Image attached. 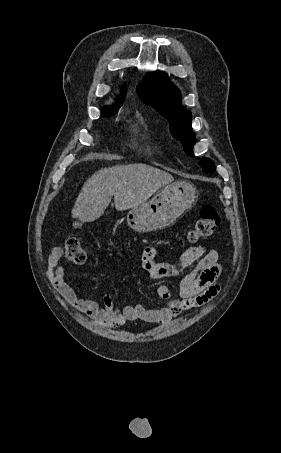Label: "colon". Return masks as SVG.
<instances>
[{
    "label": "colon",
    "mask_w": 281,
    "mask_h": 453,
    "mask_svg": "<svg viewBox=\"0 0 281 453\" xmlns=\"http://www.w3.org/2000/svg\"><path fill=\"white\" fill-rule=\"evenodd\" d=\"M218 223L219 219L214 205L203 203L200 209V216L197 218L194 227L190 230L192 244H197L208 238ZM64 252L67 259L71 262H84L88 255L82 240L78 237H68L65 240Z\"/></svg>",
    "instance_id": "obj_1"
}]
</instances>
